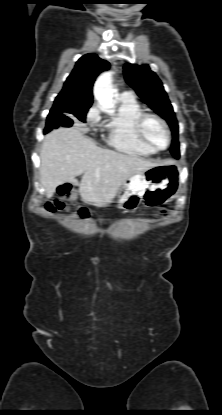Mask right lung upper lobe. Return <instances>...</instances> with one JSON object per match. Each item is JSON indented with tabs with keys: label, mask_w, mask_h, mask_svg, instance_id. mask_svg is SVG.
<instances>
[{
	"label": "right lung upper lobe",
	"mask_w": 222,
	"mask_h": 415,
	"mask_svg": "<svg viewBox=\"0 0 222 415\" xmlns=\"http://www.w3.org/2000/svg\"><path fill=\"white\" fill-rule=\"evenodd\" d=\"M110 64L96 54H86L77 62L64 83L62 91L56 97L53 109L61 106L91 105L93 102L92 87L96 77Z\"/></svg>",
	"instance_id": "obj_1"
}]
</instances>
